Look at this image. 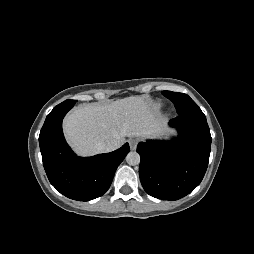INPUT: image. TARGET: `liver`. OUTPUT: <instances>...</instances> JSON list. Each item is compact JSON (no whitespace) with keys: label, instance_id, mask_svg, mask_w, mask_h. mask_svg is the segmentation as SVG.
<instances>
[{"label":"liver","instance_id":"6515ba94","mask_svg":"<svg viewBox=\"0 0 254 254\" xmlns=\"http://www.w3.org/2000/svg\"><path fill=\"white\" fill-rule=\"evenodd\" d=\"M165 122L150 109L146 96H131L107 105L86 104L64 120V133L74 150L83 156L101 153V145L125 137L146 138L160 133Z\"/></svg>","mask_w":254,"mask_h":254}]
</instances>
